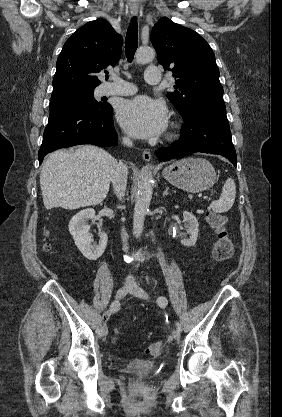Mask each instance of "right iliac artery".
<instances>
[{"mask_svg":"<svg viewBox=\"0 0 282 417\" xmlns=\"http://www.w3.org/2000/svg\"><path fill=\"white\" fill-rule=\"evenodd\" d=\"M120 309V303L119 301H114L111 303L110 308H109V313H115Z\"/></svg>","mask_w":282,"mask_h":417,"instance_id":"82829eb1","label":"right iliac artery"}]
</instances>
